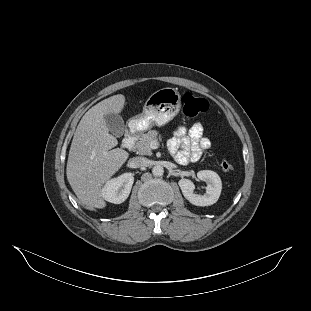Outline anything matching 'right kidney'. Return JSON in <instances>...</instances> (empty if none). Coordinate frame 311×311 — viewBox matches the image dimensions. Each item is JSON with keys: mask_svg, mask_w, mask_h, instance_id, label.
I'll return each mask as SVG.
<instances>
[{"mask_svg": "<svg viewBox=\"0 0 311 311\" xmlns=\"http://www.w3.org/2000/svg\"><path fill=\"white\" fill-rule=\"evenodd\" d=\"M133 182V173L125 172L107 180L100 190V195L106 202L123 203L130 194Z\"/></svg>", "mask_w": 311, "mask_h": 311, "instance_id": "right-kidney-1", "label": "right kidney"}]
</instances>
